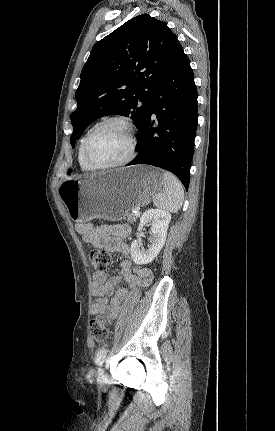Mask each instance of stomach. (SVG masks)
<instances>
[{
    "label": "stomach",
    "mask_w": 275,
    "mask_h": 431,
    "mask_svg": "<svg viewBox=\"0 0 275 431\" xmlns=\"http://www.w3.org/2000/svg\"><path fill=\"white\" fill-rule=\"evenodd\" d=\"M160 169L139 165L98 175L64 180L58 194L70 218L120 220L133 208L148 204L162 189Z\"/></svg>",
    "instance_id": "stomach-1"
}]
</instances>
